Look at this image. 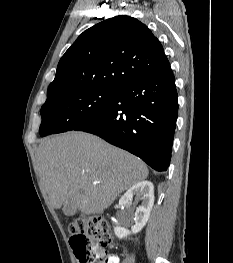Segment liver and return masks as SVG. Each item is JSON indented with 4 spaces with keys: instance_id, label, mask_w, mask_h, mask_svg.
<instances>
[{
    "instance_id": "1",
    "label": "liver",
    "mask_w": 233,
    "mask_h": 263,
    "mask_svg": "<svg viewBox=\"0 0 233 263\" xmlns=\"http://www.w3.org/2000/svg\"><path fill=\"white\" fill-rule=\"evenodd\" d=\"M38 161L52 206L59 209L71 199L86 215L102 213L149 174L139 158L84 132L45 138Z\"/></svg>"
}]
</instances>
